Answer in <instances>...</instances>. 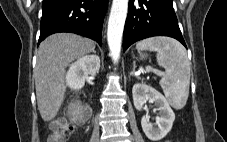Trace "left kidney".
<instances>
[{"instance_id": "5707ae66", "label": "left kidney", "mask_w": 227, "mask_h": 142, "mask_svg": "<svg viewBox=\"0 0 227 142\" xmlns=\"http://www.w3.org/2000/svg\"><path fill=\"white\" fill-rule=\"evenodd\" d=\"M133 103L137 110H142L143 105L147 100L154 102L159 110L158 121L155 123V127L150 123V117L144 115L141 119L142 129L150 140L156 142L164 138L171 130L173 122L175 120V114L167 99L156 89L151 86L142 83L134 84L132 88Z\"/></svg>"}]
</instances>
